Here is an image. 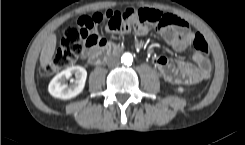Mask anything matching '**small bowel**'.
<instances>
[{
    "label": "small bowel",
    "mask_w": 245,
    "mask_h": 145,
    "mask_svg": "<svg viewBox=\"0 0 245 145\" xmlns=\"http://www.w3.org/2000/svg\"><path fill=\"white\" fill-rule=\"evenodd\" d=\"M97 34V30L93 29ZM138 35H146V28L136 30ZM161 38L172 47L175 51L181 52L191 48L192 40L195 32L189 28V25L184 20H178L175 27H163L159 32ZM107 44V40L99 37V45L94 48H87L82 54L83 59L89 58L92 51L98 47ZM192 59L195 64H191L182 59H178L174 64L166 57H157L153 61L156 70L161 74L163 79L169 83L179 84L185 82L188 84H197L205 80L202 71L206 65V57L196 50H192Z\"/></svg>",
    "instance_id": "c3829d8e"
}]
</instances>
